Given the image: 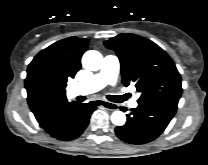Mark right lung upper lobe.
Instances as JSON below:
<instances>
[{
  "instance_id": "obj_1",
  "label": "right lung upper lobe",
  "mask_w": 208,
  "mask_h": 165,
  "mask_svg": "<svg viewBox=\"0 0 208 165\" xmlns=\"http://www.w3.org/2000/svg\"><path fill=\"white\" fill-rule=\"evenodd\" d=\"M88 39L69 37L42 50L27 69L25 87L30 109L37 120L68 102L66 82L81 68Z\"/></svg>"
}]
</instances>
